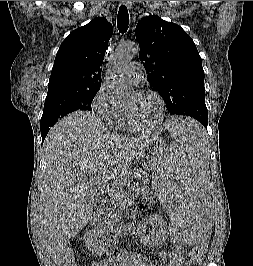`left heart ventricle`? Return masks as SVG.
Instances as JSON below:
<instances>
[{
  "mask_svg": "<svg viewBox=\"0 0 253 266\" xmlns=\"http://www.w3.org/2000/svg\"><path fill=\"white\" fill-rule=\"evenodd\" d=\"M124 106L132 114L136 123L144 127L155 123L160 114V106L157 99L148 94L139 95L132 92Z\"/></svg>",
  "mask_w": 253,
  "mask_h": 266,
  "instance_id": "1",
  "label": "left heart ventricle"
}]
</instances>
